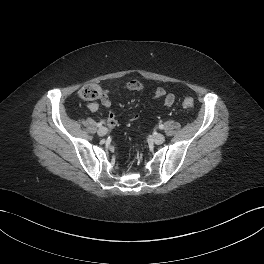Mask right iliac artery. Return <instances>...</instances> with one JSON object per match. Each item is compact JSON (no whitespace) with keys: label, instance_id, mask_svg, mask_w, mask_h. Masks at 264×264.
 Returning a JSON list of instances; mask_svg holds the SVG:
<instances>
[{"label":"right iliac artery","instance_id":"right-iliac-artery-1","mask_svg":"<svg viewBox=\"0 0 264 264\" xmlns=\"http://www.w3.org/2000/svg\"><path fill=\"white\" fill-rule=\"evenodd\" d=\"M97 126H98V127H101V126H102V122H99V123L97 124Z\"/></svg>","mask_w":264,"mask_h":264}]
</instances>
